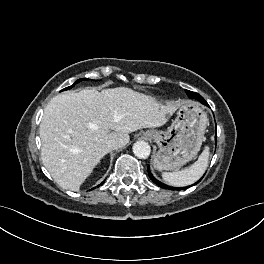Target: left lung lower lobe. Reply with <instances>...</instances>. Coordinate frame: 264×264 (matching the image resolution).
<instances>
[{"label":"left lung lower lobe","mask_w":264,"mask_h":264,"mask_svg":"<svg viewBox=\"0 0 264 264\" xmlns=\"http://www.w3.org/2000/svg\"><path fill=\"white\" fill-rule=\"evenodd\" d=\"M193 97L196 98L197 100H200L201 103H203L204 105H207L206 101H205V100H204L199 94L195 93V95H193ZM148 173H149V177L151 178V180H152L155 184H157L158 186H160V187H162V188H168V189H170V190H172V189H174V190H178V189H186V188H188V187H183V188L169 187V186H167V185H165V184H163V183L157 181V180L152 176V174L150 173V170H149V169H148ZM200 180H201V179H200ZM200 180H199V181H200ZM199 181H197L195 184H197Z\"/></svg>","instance_id":"1"}]
</instances>
